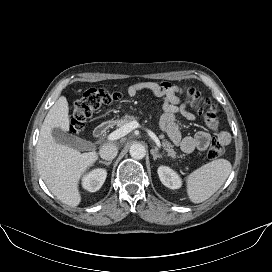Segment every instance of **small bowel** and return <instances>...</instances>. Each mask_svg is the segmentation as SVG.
Instances as JSON below:
<instances>
[{"instance_id": "small-bowel-1", "label": "small bowel", "mask_w": 272, "mask_h": 272, "mask_svg": "<svg viewBox=\"0 0 272 272\" xmlns=\"http://www.w3.org/2000/svg\"><path fill=\"white\" fill-rule=\"evenodd\" d=\"M147 90L159 99V106L163 110L160 118L161 130L178 145L185 153H192L195 150L205 151L211 142V136L205 131H199L193 136L183 137L177 125L176 115L181 114L185 119H195L193 112L181 103L179 94L183 90L169 82L156 83L152 81L137 82L128 87L127 93L130 97H136L141 91ZM207 127L216 135V139L223 145L230 142V135L219 130V123L216 118L207 119Z\"/></svg>"}]
</instances>
